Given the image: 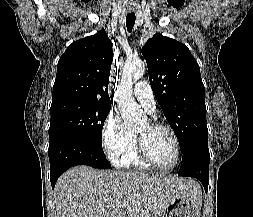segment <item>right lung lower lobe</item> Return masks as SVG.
Wrapping results in <instances>:
<instances>
[{
	"instance_id": "right-lung-lower-lobe-1",
	"label": "right lung lower lobe",
	"mask_w": 253,
	"mask_h": 217,
	"mask_svg": "<svg viewBox=\"0 0 253 217\" xmlns=\"http://www.w3.org/2000/svg\"><path fill=\"white\" fill-rule=\"evenodd\" d=\"M51 185L54 188L58 177L70 167L88 165L94 168H110L103 150L92 146L87 140L77 136H64L50 142Z\"/></svg>"
}]
</instances>
